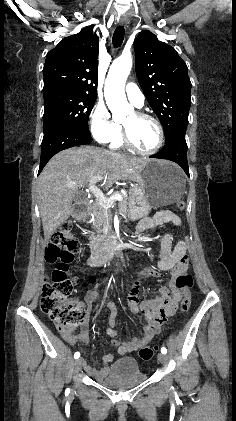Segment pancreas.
Returning <instances> with one entry per match:
<instances>
[{
  "instance_id": "cf45deb5",
  "label": "pancreas",
  "mask_w": 236,
  "mask_h": 421,
  "mask_svg": "<svg viewBox=\"0 0 236 421\" xmlns=\"http://www.w3.org/2000/svg\"><path fill=\"white\" fill-rule=\"evenodd\" d=\"M114 194H122V192H120V190H115ZM122 198L123 200H119L118 202L119 215H121L123 219H126L128 213L127 200H129V198H127L125 194H122ZM89 211V215L92 217V227H94L96 233H99L97 237L91 235V239H89L91 253H96V251H99L101 243L107 239L106 235H100V233H103V229H111L112 211L111 208H104V206H101L98 200L89 206Z\"/></svg>"
}]
</instances>
